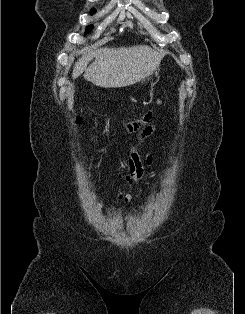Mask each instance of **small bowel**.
I'll return each mask as SVG.
<instances>
[{"label": "small bowel", "mask_w": 245, "mask_h": 314, "mask_svg": "<svg viewBox=\"0 0 245 314\" xmlns=\"http://www.w3.org/2000/svg\"><path fill=\"white\" fill-rule=\"evenodd\" d=\"M160 99L156 100V104L160 105ZM154 111L149 109L139 119L129 122L125 125L124 130L126 132H139L135 144L144 140L154 131L152 125V117ZM152 157H148V163L151 164ZM144 170L139 160L137 152L133 149L127 156L126 163L122 166V173L119 175V179L125 180L129 184L140 183L144 179Z\"/></svg>", "instance_id": "obj_1"}]
</instances>
